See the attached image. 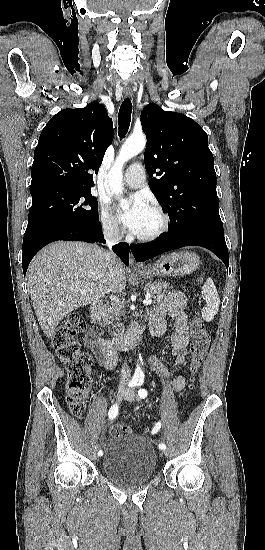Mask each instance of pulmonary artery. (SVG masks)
Here are the masks:
<instances>
[{"label": "pulmonary artery", "mask_w": 265, "mask_h": 550, "mask_svg": "<svg viewBox=\"0 0 265 550\" xmlns=\"http://www.w3.org/2000/svg\"><path fill=\"white\" fill-rule=\"evenodd\" d=\"M125 184L130 188H140L145 183V169L141 163H133L126 170Z\"/></svg>", "instance_id": "pulmonary-artery-1"}]
</instances>
